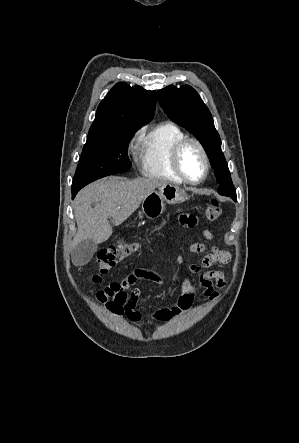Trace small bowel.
<instances>
[{"label": "small bowel", "instance_id": "c3829d8e", "mask_svg": "<svg viewBox=\"0 0 299 443\" xmlns=\"http://www.w3.org/2000/svg\"><path fill=\"white\" fill-rule=\"evenodd\" d=\"M179 222L184 227L192 228L196 226L197 219L192 215H181ZM202 235L207 240H213L214 238L212 232L208 229H203ZM188 249L193 254H204L201 261L196 264L188 263L187 259L180 255L176 259L177 264L184 268L190 276L197 278L206 298L215 299L225 285V274L220 270L211 269V266L216 263L227 264L231 259L230 253L199 242L190 244ZM139 279L146 280L154 286L160 285L163 281L162 276L153 270L137 269L121 281L112 282L103 290L98 291L96 299L103 303L113 315L126 314L130 320L140 321L143 314L137 309V306L141 291L134 288ZM194 298L195 288L190 277L186 276L182 281L181 294L177 303L171 307L156 310L150 316L156 320H167L180 315L191 306Z\"/></svg>", "mask_w": 299, "mask_h": 443}]
</instances>
